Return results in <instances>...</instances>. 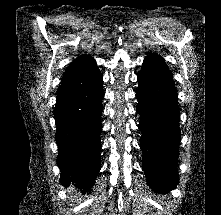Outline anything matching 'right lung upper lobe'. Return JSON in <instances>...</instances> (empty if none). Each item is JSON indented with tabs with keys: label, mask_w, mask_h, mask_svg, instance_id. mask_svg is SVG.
<instances>
[{
	"label": "right lung upper lobe",
	"mask_w": 221,
	"mask_h": 215,
	"mask_svg": "<svg viewBox=\"0 0 221 215\" xmlns=\"http://www.w3.org/2000/svg\"><path fill=\"white\" fill-rule=\"evenodd\" d=\"M96 69L95 60L91 56H79L65 70L62 83L86 75Z\"/></svg>",
	"instance_id": "1"
}]
</instances>
